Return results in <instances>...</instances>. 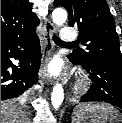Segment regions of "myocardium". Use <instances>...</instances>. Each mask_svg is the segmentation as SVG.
Instances as JSON below:
<instances>
[{
    "label": "myocardium",
    "mask_w": 122,
    "mask_h": 123,
    "mask_svg": "<svg viewBox=\"0 0 122 123\" xmlns=\"http://www.w3.org/2000/svg\"><path fill=\"white\" fill-rule=\"evenodd\" d=\"M90 85V79L87 76H81L76 83V90L77 91H84Z\"/></svg>",
    "instance_id": "myocardium-1"
}]
</instances>
